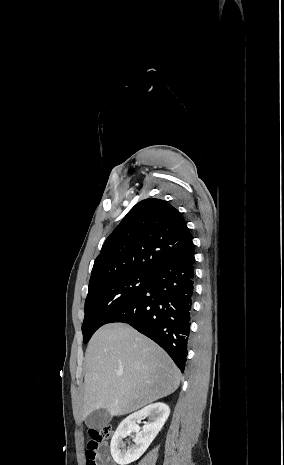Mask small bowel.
Listing matches in <instances>:
<instances>
[{
	"instance_id": "small-bowel-1",
	"label": "small bowel",
	"mask_w": 284,
	"mask_h": 465,
	"mask_svg": "<svg viewBox=\"0 0 284 465\" xmlns=\"http://www.w3.org/2000/svg\"><path fill=\"white\" fill-rule=\"evenodd\" d=\"M100 460H101V465H109V461H110V456L108 454H101L100 455Z\"/></svg>"
}]
</instances>
